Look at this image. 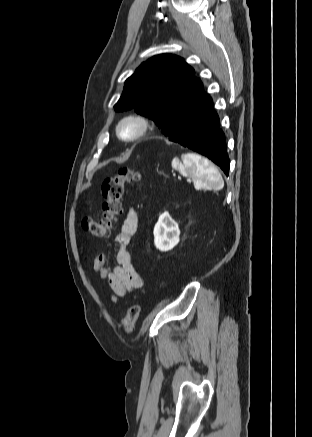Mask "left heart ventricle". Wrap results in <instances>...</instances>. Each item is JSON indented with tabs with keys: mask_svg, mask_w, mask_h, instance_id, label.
I'll return each mask as SVG.
<instances>
[{
	"mask_svg": "<svg viewBox=\"0 0 312 437\" xmlns=\"http://www.w3.org/2000/svg\"><path fill=\"white\" fill-rule=\"evenodd\" d=\"M136 130H137V125L133 122H130L123 127V134L129 136L134 134Z\"/></svg>",
	"mask_w": 312,
	"mask_h": 437,
	"instance_id": "1",
	"label": "left heart ventricle"
}]
</instances>
